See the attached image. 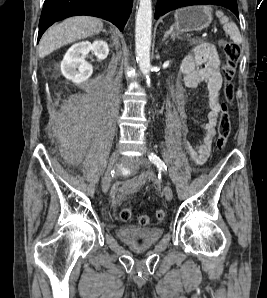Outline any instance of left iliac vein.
<instances>
[{"mask_svg":"<svg viewBox=\"0 0 267 298\" xmlns=\"http://www.w3.org/2000/svg\"><path fill=\"white\" fill-rule=\"evenodd\" d=\"M131 162L139 163V164L147 166V167L150 166L149 161L143 156L136 157L135 159L131 160ZM164 195H165L167 200H169V201L172 200L173 192H172V189L169 185L164 186Z\"/></svg>","mask_w":267,"mask_h":298,"instance_id":"obj_1","label":"left iliac vein"}]
</instances>
